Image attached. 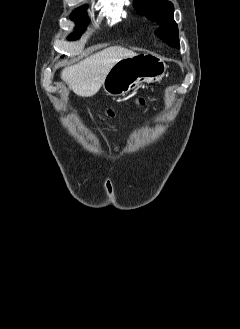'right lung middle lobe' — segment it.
Instances as JSON below:
<instances>
[{"label":"right lung middle lobe","instance_id":"dd1d6c3e","mask_svg":"<svg viewBox=\"0 0 240 329\" xmlns=\"http://www.w3.org/2000/svg\"><path fill=\"white\" fill-rule=\"evenodd\" d=\"M86 9H78L75 10L71 14V19L76 22V31L68 36L69 40L79 39L82 32H84V28L88 25L89 19L85 13Z\"/></svg>","mask_w":240,"mask_h":329}]
</instances>
